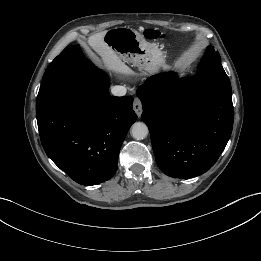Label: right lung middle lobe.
Segmentation results:
<instances>
[{"label":"right lung middle lobe","instance_id":"dd1d6c3e","mask_svg":"<svg viewBox=\"0 0 261 261\" xmlns=\"http://www.w3.org/2000/svg\"><path fill=\"white\" fill-rule=\"evenodd\" d=\"M96 69L97 68L84 57L79 45L67 46L46 69L37 96L36 105L43 102L58 87L69 80L88 72H93Z\"/></svg>","mask_w":261,"mask_h":261}]
</instances>
